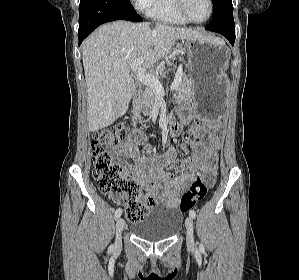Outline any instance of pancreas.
<instances>
[{"instance_id": "cf45deb5", "label": "pancreas", "mask_w": 299, "mask_h": 280, "mask_svg": "<svg viewBox=\"0 0 299 280\" xmlns=\"http://www.w3.org/2000/svg\"><path fill=\"white\" fill-rule=\"evenodd\" d=\"M190 86V80L184 73H182L178 89H180L183 93H188ZM157 98V94L150 87H147L143 93L136 97L133 102V114L135 116V119H138L139 122H141L140 113H148L155 105Z\"/></svg>"}]
</instances>
